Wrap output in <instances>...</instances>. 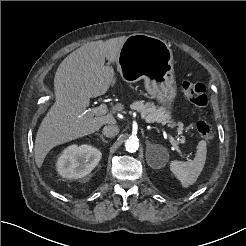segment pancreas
Here are the masks:
<instances>
[{
	"instance_id": "cf45deb5",
	"label": "pancreas",
	"mask_w": 246,
	"mask_h": 246,
	"mask_svg": "<svg viewBox=\"0 0 246 246\" xmlns=\"http://www.w3.org/2000/svg\"><path fill=\"white\" fill-rule=\"evenodd\" d=\"M130 108L140 112L146 122H159L162 124L171 122V113L165 107L156 108L154 103L148 102L144 104L143 101L134 102L130 105Z\"/></svg>"
}]
</instances>
